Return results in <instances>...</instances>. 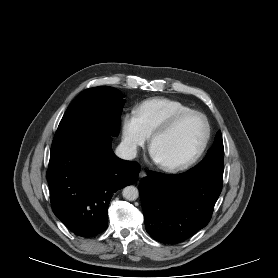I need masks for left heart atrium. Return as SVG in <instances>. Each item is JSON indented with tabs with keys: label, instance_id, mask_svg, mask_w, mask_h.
Listing matches in <instances>:
<instances>
[{
	"label": "left heart atrium",
	"instance_id": "39dd6f15",
	"mask_svg": "<svg viewBox=\"0 0 278 278\" xmlns=\"http://www.w3.org/2000/svg\"><path fill=\"white\" fill-rule=\"evenodd\" d=\"M151 154H152L153 159H154L156 162H158V160H157V158H156V156L154 155V153H153L152 150H151Z\"/></svg>",
	"mask_w": 278,
	"mask_h": 278
}]
</instances>
